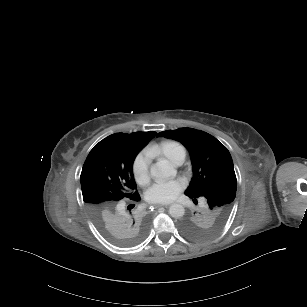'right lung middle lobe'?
I'll use <instances>...</instances> for the list:
<instances>
[{
  "label": "right lung middle lobe",
  "instance_id": "dd1d6c3e",
  "mask_svg": "<svg viewBox=\"0 0 307 307\" xmlns=\"http://www.w3.org/2000/svg\"><path fill=\"white\" fill-rule=\"evenodd\" d=\"M83 200L86 204L97 199H103L114 192V187L106 179H97L86 173L84 180L81 179Z\"/></svg>",
  "mask_w": 307,
  "mask_h": 307
}]
</instances>
